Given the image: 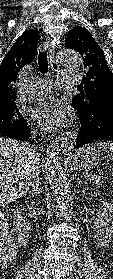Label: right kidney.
Returning <instances> with one entry per match:
<instances>
[{
	"mask_svg": "<svg viewBox=\"0 0 113 279\" xmlns=\"http://www.w3.org/2000/svg\"><path fill=\"white\" fill-rule=\"evenodd\" d=\"M21 208L16 209L13 214V225L17 232L18 242L26 246L31 235V225L26 222Z\"/></svg>",
	"mask_w": 113,
	"mask_h": 279,
	"instance_id": "ca27d5eb",
	"label": "right kidney"
}]
</instances>
